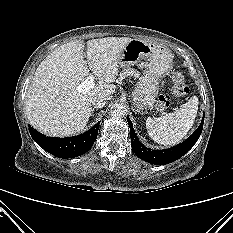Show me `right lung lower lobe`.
I'll use <instances>...</instances> for the list:
<instances>
[{"mask_svg":"<svg viewBox=\"0 0 233 233\" xmlns=\"http://www.w3.org/2000/svg\"><path fill=\"white\" fill-rule=\"evenodd\" d=\"M99 123L81 135L65 138L47 137L33 128L29 131L41 148L58 158L66 159L83 155L90 150L97 138Z\"/></svg>","mask_w":233,"mask_h":233,"instance_id":"1","label":"right lung lower lobe"}]
</instances>
